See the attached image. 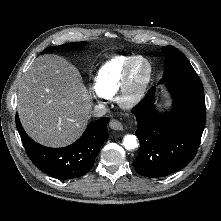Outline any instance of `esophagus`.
I'll return each mask as SVG.
<instances>
[{"label": "esophagus", "mask_w": 221, "mask_h": 221, "mask_svg": "<svg viewBox=\"0 0 221 221\" xmlns=\"http://www.w3.org/2000/svg\"><path fill=\"white\" fill-rule=\"evenodd\" d=\"M110 127H111V129L116 130V131L123 130L122 123L120 121L116 120V119H112L110 121Z\"/></svg>", "instance_id": "1"}]
</instances>
